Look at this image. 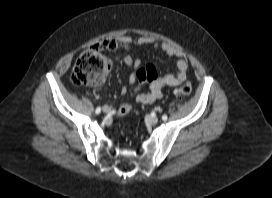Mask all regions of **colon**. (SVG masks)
Returning a JSON list of instances; mask_svg holds the SVG:
<instances>
[{
    "instance_id": "1",
    "label": "colon",
    "mask_w": 272,
    "mask_h": 198,
    "mask_svg": "<svg viewBox=\"0 0 272 198\" xmlns=\"http://www.w3.org/2000/svg\"><path fill=\"white\" fill-rule=\"evenodd\" d=\"M110 67V60L100 50H87L76 60L71 72V80L78 86L97 85L104 80ZM155 73H157L156 69L151 64L138 71L141 77L152 76ZM176 93L179 96H188L191 93V87L189 85L181 86L176 89ZM125 129L129 130V126H126Z\"/></svg>"
}]
</instances>
